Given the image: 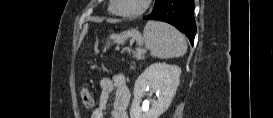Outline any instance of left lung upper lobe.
I'll use <instances>...</instances> for the list:
<instances>
[{"label":"left lung upper lobe","instance_id":"5c2ea615","mask_svg":"<svg viewBox=\"0 0 273 118\" xmlns=\"http://www.w3.org/2000/svg\"><path fill=\"white\" fill-rule=\"evenodd\" d=\"M162 0H155V6L154 9L158 7V5L161 3Z\"/></svg>","mask_w":273,"mask_h":118}]
</instances>
